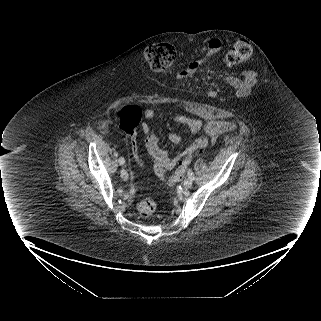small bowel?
<instances>
[{
  "instance_id": "1",
  "label": "small bowel",
  "mask_w": 321,
  "mask_h": 321,
  "mask_svg": "<svg viewBox=\"0 0 321 321\" xmlns=\"http://www.w3.org/2000/svg\"><path fill=\"white\" fill-rule=\"evenodd\" d=\"M222 42L217 38H213L208 42L207 51L202 59L191 61L186 68L177 74V79H184L193 75L197 70L203 67L213 56L218 54L222 49ZM229 87L238 95L245 96L253 89V85L257 82V76L253 72H246L243 82L235 75L228 77ZM155 115L153 109L148 108L144 112L146 121L141 124V131L147 135L146 147L152 157L154 170L157 175L163 176L165 170L172 169L176 163L183 157L189 156L195 149L201 147L196 146L195 143L184 148L176 156H170L164 149L161 148L158 137L151 132L150 126L147 123ZM173 120L179 124L186 126L192 133L201 132L205 139L215 143L218 138L225 132L231 131L235 125L226 120H210L203 122L198 119H193L183 115H177ZM168 139L173 144H179L183 140V136L178 133H170ZM206 142V140H205ZM205 144V143H204ZM203 144V145H204ZM202 145V146H203Z\"/></svg>"
}]
</instances>
